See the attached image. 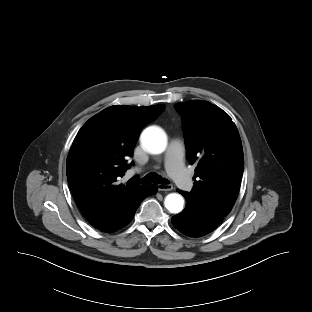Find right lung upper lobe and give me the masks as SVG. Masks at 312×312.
Listing matches in <instances>:
<instances>
[{"label":"right lung upper lobe","instance_id":"cb5924a9","mask_svg":"<svg viewBox=\"0 0 312 312\" xmlns=\"http://www.w3.org/2000/svg\"><path fill=\"white\" fill-rule=\"evenodd\" d=\"M164 108L114 105L79 130L67 157V181L77 206L94 228L104 231L119 222L145 186L138 184L137 176L126 184L119 181L129 168L126 160L140 131Z\"/></svg>","mask_w":312,"mask_h":312}]
</instances>
